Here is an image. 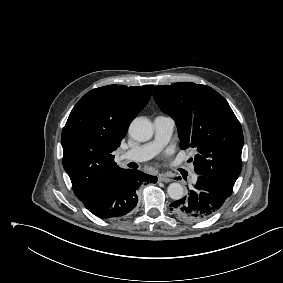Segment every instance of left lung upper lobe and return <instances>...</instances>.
I'll return each mask as SVG.
<instances>
[{"label": "left lung upper lobe", "instance_id": "obj_1", "mask_svg": "<svg viewBox=\"0 0 283 283\" xmlns=\"http://www.w3.org/2000/svg\"><path fill=\"white\" fill-rule=\"evenodd\" d=\"M153 97L175 120L180 148L197 150L195 172L234 186L242 169L243 132L225 98L191 82L157 86Z\"/></svg>", "mask_w": 283, "mask_h": 283}]
</instances>
